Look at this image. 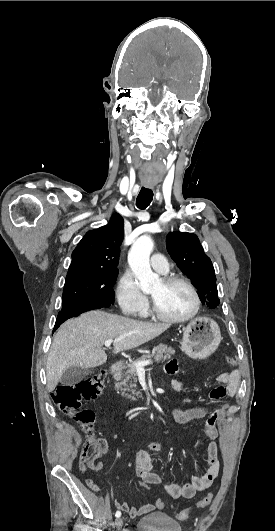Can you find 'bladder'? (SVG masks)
<instances>
[{"instance_id": "1", "label": "bladder", "mask_w": 275, "mask_h": 531, "mask_svg": "<svg viewBox=\"0 0 275 531\" xmlns=\"http://www.w3.org/2000/svg\"><path fill=\"white\" fill-rule=\"evenodd\" d=\"M180 522L166 512H152L140 517L134 531H181Z\"/></svg>"}]
</instances>
